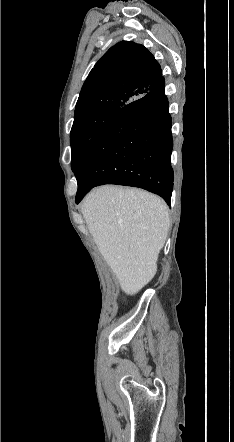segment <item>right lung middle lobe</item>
<instances>
[{"mask_svg":"<svg viewBox=\"0 0 234 442\" xmlns=\"http://www.w3.org/2000/svg\"><path fill=\"white\" fill-rule=\"evenodd\" d=\"M118 112L117 109L104 110L74 121L70 136L73 171L97 143Z\"/></svg>","mask_w":234,"mask_h":442,"instance_id":"obj_1","label":"right lung middle lobe"}]
</instances>
